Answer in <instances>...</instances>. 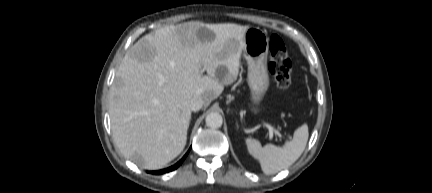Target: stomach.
Segmentation results:
<instances>
[{
  "label": "stomach",
  "instance_id": "obj_1",
  "mask_svg": "<svg viewBox=\"0 0 432 193\" xmlns=\"http://www.w3.org/2000/svg\"><path fill=\"white\" fill-rule=\"evenodd\" d=\"M243 56L247 61V82L251 90V101L258 104L269 87L267 56L269 37L258 27L249 28L244 36Z\"/></svg>",
  "mask_w": 432,
  "mask_h": 193
}]
</instances>
